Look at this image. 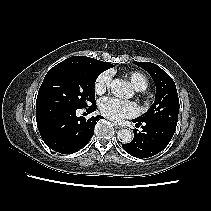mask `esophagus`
Segmentation results:
<instances>
[{
    "label": "esophagus",
    "mask_w": 211,
    "mask_h": 211,
    "mask_svg": "<svg viewBox=\"0 0 211 211\" xmlns=\"http://www.w3.org/2000/svg\"><path fill=\"white\" fill-rule=\"evenodd\" d=\"M113 125L115 126L116 129H122L123 126L117 123H113Z\"/></svg>",
    "instance_id": "obj_1"
}]
</instances>
